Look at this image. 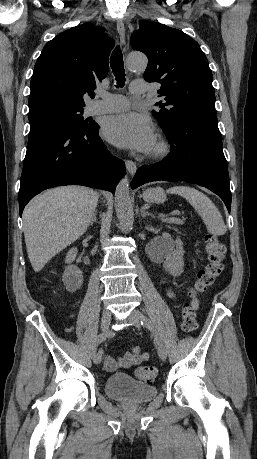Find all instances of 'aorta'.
<instances>
[{"label":"aorta","instance_id":"obj_1","mask_svg":"<svg viewBox=\"0 0 257 459\" xmlns=\"http://www.w3.org/2000/svg\"><path fill=\"white\" fill-rule=\"evenodd\" d=\"M127 63L130 71L142 70L147 66V58L143 54L132 53L128 56ZM115 210L122 232L130 231L133 227L134 212L127 177L121 179L116 187Z\"/></svg>","mask_w":257,"mask_h":459}]
</instances>
